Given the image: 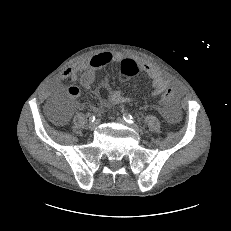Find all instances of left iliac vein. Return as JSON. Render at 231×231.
Masks as SVG:
<instances>
[{"label": "left iliac vein", "mask_w": 231, "mask_h": 231, "mask_svg": "<svg viewBox=\"0 0 231 231\" xmlns=\"http://www.w3.org/2000/svg\"><path fill=\"white\" fill-rule=\"evenodd\" d=\"M117 120H118L119 123H121V124H123V125H125V126H127V127L132 128L133 130H135L136 133L140 134V129H139L137 126H135V125H130L129 123H127V122H126L123 118H121V117H119Z\"/></svg>", "instance_id": "left-iliac-vein-1"}]
</instances>
